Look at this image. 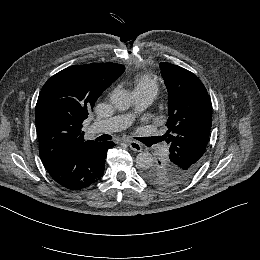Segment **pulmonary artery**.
Returning a JSON list of instances; mask_svg holds the SVG:
<instances>
[{
	"mask_svg": "<svg viewBox=\"0 0 260 260\" xmlns=\"http://www.w3.org/2000/svg\"><path fill=\"white\" fill-rule=\"evenodd\" d=\"M133 98L134 100L128 104L122 115L93 123L88 127V133H117L122 128H130L138 114L152 103L154 96L147 93H135Z\"/></svg>",
	"mask_w": 260,
	"mask_h": 260,
	"instance_id": "e3ab8cb5",
	"label": "pulmonary artery"
}]
</instances>
